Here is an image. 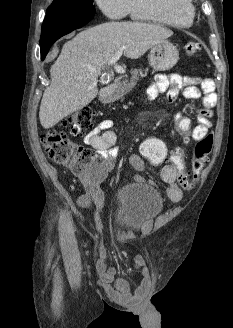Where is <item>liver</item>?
Here are the masks:
<instances>
[{
    "label": "liver",
    "mask_w": 233,
    "mask_h": 328,
    "mask_svg": "<svg viewBox=\"0 0 233 328\" xmlns=\"http://www.w3.org/2000/svg\"><path fill=\"white\" fill-rule=\"evenodd\" d=\"M172 35L170 29L143 22L112 21L81 31L63 45L50 69L51 84L39 111L41 125L51 128L88 105L97 96L101 70L120 47H125V57L138 59Z\"/></svg>",
    "instance_id": "6515ba94"
}]
</instances>
